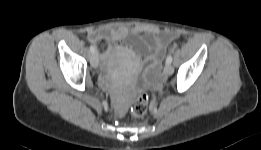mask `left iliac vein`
Instances as JSON below:
<instances>
[{
  "label": "left iliac vein",
  "mask_w": 261,
  "mask_h": 150,
  "mask_svg": "<svg viewBox=\"0 0 261 150\" xmlns=\"http://www.w3.org/2000/svg\"><path fill=\"white\" fill-rule=\"evenodd\" d=\"M164 72L167 75H172L173 72H174V69H173V67L170 64L166 63L165 67H164Z\"/></svg>",
  "instance_id": "4c4485c4"
}]
</instances>
